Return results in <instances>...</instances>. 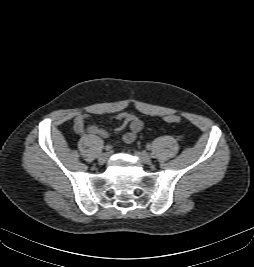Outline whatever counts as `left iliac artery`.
<instances>
[{
	"label": "left iliac artery",
	"instance_id": "left-iliac-artery-1",
	"mask_svg": "<svg viewBox=\"0 0 254 267\" xmlns=\"http://www.w3.org/2000/svg\"><path fill=\"white\" fill-rule=\"evenodd\" d=\"M151 147H152V146H151L150 144H147V145H146L147 150H151Z\"/></svg>",
	"mask_w": 254,
	"mask_h": 267
}]
</instances>
